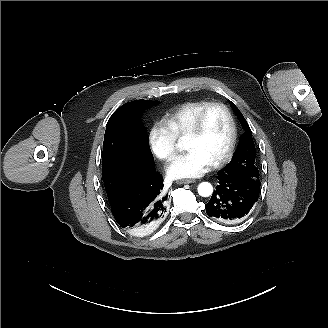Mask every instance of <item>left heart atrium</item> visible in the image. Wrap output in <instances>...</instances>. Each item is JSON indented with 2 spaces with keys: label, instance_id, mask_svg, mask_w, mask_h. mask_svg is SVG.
I'll use <instances>...</instances> for the list:
<instances>
[{
  "label": "left heart atrium",
  "instance_id": "left-heart-atrium-1",
  "mask_svg": "<svg viewBox=\"0 0 328 328\" xmlns=\"http://www.w3.org/2000/svg\"><path fill=\"white\" fill-rule=\"evenodd\" d=\"M211 166V161L203 153L191 149L174 157L165 169L172 178L189 179L204 175Z\"/></svg>",
  "mask_w": 328,
  "mask_h": 328
}]
</instances>
